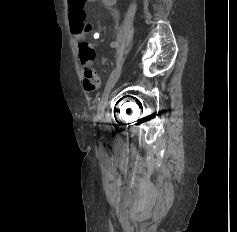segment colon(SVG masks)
Wrapping results in <instances>:
<instances>
[{
    "mask_svg": "<svg viewBox=\"0 0 237 232\" xmlns=\"http://www.w3.org/2000/svg\"><path fill=\"white\" fill-rule=\"evenodd\" d=\"M87 0H69L70 24L75 34H86L91 30V25L86 21L84 4Z\"/></svg>",
    "mask_w": 237,
    "mask_h": 232,
    "instance_id": "1",
    "label": "colon"
}]
</instances>
